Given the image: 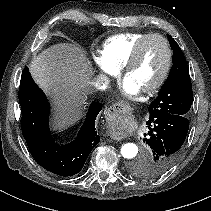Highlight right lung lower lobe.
<instances>
[{
    "label": "right lung lower lobe",
    "instance_id": "obj_1",
    "mask_svg": "<svg viewBox=\"0 0 211 211\" xmlns=\"http://www.w3.org/2000/svg\"><path fill=\"white\" fill-rule=\"evenodd\" d=\"M18 97L22 111V133L35 161L60 176L77 174L100 141L95 120L102 110L101 104L93 101L75 140L59 145L55 143L49 129V102L34 83L27 67L22 72Z\"/></svg>",
    "mask_w": 211,
    "mask_h": 211
}]
</instances>
